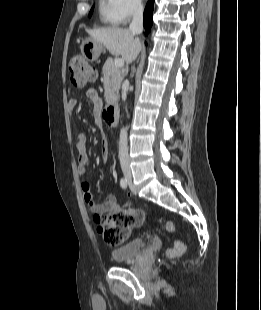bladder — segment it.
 Listing matches in <instances>:
<instances>
[{
    "mask_svg": "<svg viewBox=\"0 0 261 310\" xmlns=\"http://www.w3.org/2000/svg\"><path fill=\"white\" fill-rule=\"evenodd\" d=\"M144 247L142 238H132L125 243L113 248L110 252L111 258L115 262H125L133 259Z\"/></svg>",
    "mask_w": 261,
    "mask_h": 310,
    "instance_id": "1",
    "label": "bladder"
}]
</instances>
